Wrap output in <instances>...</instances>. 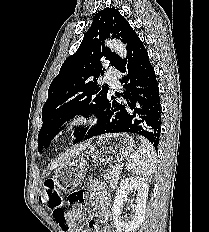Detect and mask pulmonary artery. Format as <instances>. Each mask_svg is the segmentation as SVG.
I'll list each match as a JSON object with an SVG mask.
<instances>
[{
  "label": "pulmonary artery",
  "instance_id": "obj_1",
  "mask_svg": "<svg viewBox=\"0 0 209 232\" xmlns=\"http://www.w3.org/2000/svg\"><path fill=\"white\" fill-rule=\"evenodd\" d=\"M106 80L110 83L111 86H117L118 81V72L115 69H109L106 72Z\"/></svg>",
  "mask_w": 209,
  "mask_h": 232
}]
</instances>
